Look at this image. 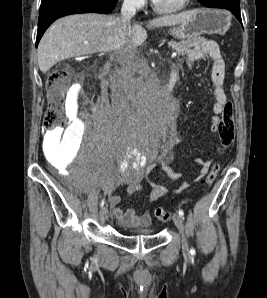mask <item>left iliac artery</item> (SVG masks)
<instances>
[{
    "label": "left iliac artery",
    "mask_w": 267,
    "mask_h": 298,
    "mask_svg": "<svg viewBox=\"0 0 267 298\" xmlns=\"http://www.w3.org/2000/svg\"><path fill=\"white\" fill-rule=\"evenodd\" d=\"M178 213H179V215H180L182 218H184V212H183L182 209H179ZM190 253H191L192 255H194V254H195V249H194V248H191Z\"/></svg>",
    "instance_id": "obj_1"
}]
</instances>
